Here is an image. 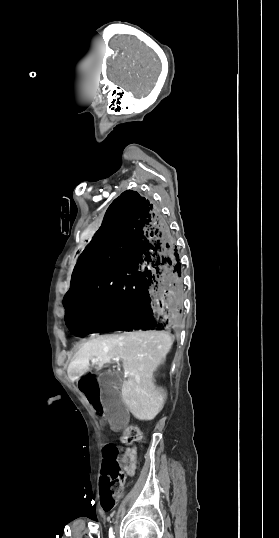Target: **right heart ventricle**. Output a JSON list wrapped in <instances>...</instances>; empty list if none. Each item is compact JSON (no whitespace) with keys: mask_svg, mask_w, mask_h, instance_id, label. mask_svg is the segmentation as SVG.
I'll use <instances>...</instances> for the list:
<instances>
[{"mask_svg":"<svg viewBox=\"0 0 279 538\" xmlns=\"http://www.w3.org/2000/svg\"><path fill=\"white\" fill-rule=\"evenodd\" d=\"M57 230H58V233L62 236L65 235V228H64V225L62 222H58L57 224Z\"/></svg>","mask_w":279,"mask_h":538,"instance_id":"obj_1","label":"right heart ventricle"}]
</instances>
